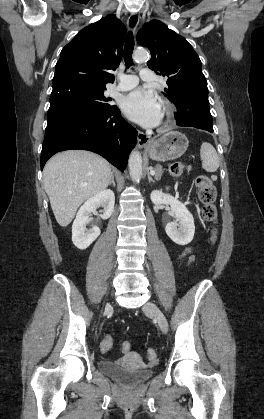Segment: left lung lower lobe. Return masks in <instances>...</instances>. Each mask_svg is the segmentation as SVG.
Masks as SVG:
<instances>
[{"label": "left lung lower lobe", "instance_id": "0a47b994", "mask_svg": "<svg viewBox=\"0 0 264 419\" xmlns=\"http://www.w3.org/2000/svg\"><path fill=\"white\" fill-rule=\"evenodd\" d=\"M176 118L178 126L195 127L213 132L208 97L185 102L177 109Z\"/></svg>", "mask_w": 264, "mask_h": 419}]
</instances>
